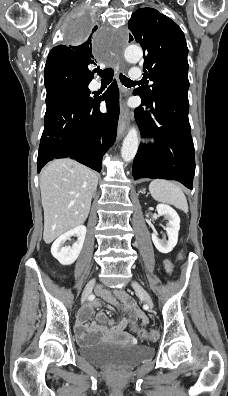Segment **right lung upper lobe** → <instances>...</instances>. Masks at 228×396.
<instances>
[{
  "instance_id": "right-lung-upper-lobe-1",
  "label": "right lung upper lobe",
  "mask_w": 228,
  "mask_h": 396,
  "mask_svg": "<svg viewBox=\"0 0 228 396\" xmlns=\"http://www.w3.org/2000/svg\"><path fill=\"white\" fill-rule=\"evenodd\" d=\"M96 65L92 54L91 36L79 45H59L48 55L44 75L72 73L79 77L91 79L94 77L91 67Z\"/></svg>"
}]
</instances>
